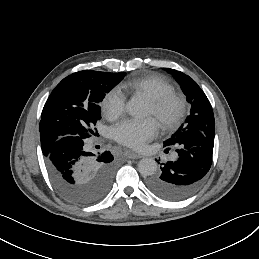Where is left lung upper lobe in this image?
I'll list each match as a JSON object with an SVG mask.
<instances>
[{
	"label": "left lung upper lobe",
	"instance_id": "left-lung-upper-lobe-1",
	"mask_svg": "<svg viewBox=\"0 0 259 259\" xmlns=\"http://www.w3.org/2000/svg\"><path fill=\"white\" fill-rule=\"evenodd\" d=\"M167 71L180 84L187 101L191 105V109L190 115L186 119V124H182L171 138L164 142V146L176 147L182 135L188 130L203 131L209 133L207 134L208 137H214L215 122L213 110L205 93L188 75L170 68H167Z\"/></svg>",
	"mask_w": 259,
	"mask_h": 259
}]
</instances>
